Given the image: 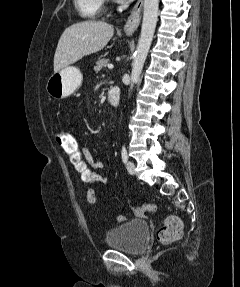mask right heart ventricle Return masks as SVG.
Masks as SVG:
<instances>
[{
    "instance_id": "1",
    "label": "right heart ventricle",
    "mask_w": 240,
    "mask_h": 287,
    "mask_svg": "<svg viewBox=\"0 0 240 287\" xmlns=\"http://www.w3.org/2000/svg\"><path fill=\"white\" fill-rule=\"evenodd\" d=\"M74 4L81 17L94 19L101 15L103 0H74Z\"/></svg>"
}]
</instances>
